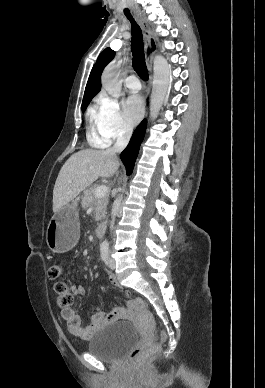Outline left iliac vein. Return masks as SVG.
I'll use <instances>...</instances> for the list:
<instances>
[{"mask_svg": "<svg viewBox=\"0 0 265 388\" xmlns=\"http://www.w3.org/2000/svg\"><path fill=\"white\" fill-rule=\"evenodd\" d=\"M108 265H109L110 269H112V270L115 269V261L113 258L109 259Z\"/></svg>", "mask_w": 265, "mask_h": 388, "instance_id": "left-iliac-vein-1", "label": "left iliac vein"}]
</instances>
